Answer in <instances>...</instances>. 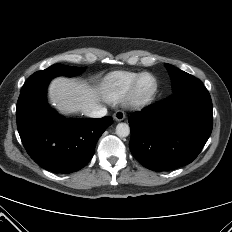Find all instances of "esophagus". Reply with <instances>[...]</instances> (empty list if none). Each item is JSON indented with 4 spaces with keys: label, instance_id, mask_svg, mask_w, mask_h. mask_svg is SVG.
<instances>
[{
    "label": "esophagus",
    "instance_id": "34e87169",
    "mask_svg": "<svg viewBox=\"0 0 232 232\" xmlns=\"http://www.w3.org/2000/svg\"><path fill=\"white\" fill-rule=\"evenodd\" d=\"M113 117L116 121H122L125 119V114L123 111L118 110L114 113Z\"/></svg>",
    "mask_w": 232,
    "mask_h": 232
}]
</instances>
